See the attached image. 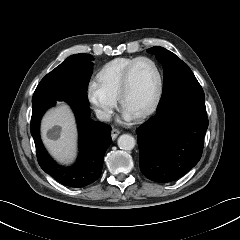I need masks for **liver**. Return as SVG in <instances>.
I'll return each instance as SVG.
<instances>
[{
  "mask_svg": "<svg viewBox=\"0 0 240 240\" xmlns=\"http://www.w3.org/2000/svg\"><path fill=\"white\" fill-rule=\"evenodd\" d=\"M54 126L61 128L59 138L52 139L47 133ZM43 142L50 154L59 162L69 163L76 154V126L72 112L62 104L50 110L42 121Z\"/></svg>",
  "mask_w": 240,
  "mask_h": 240,
  "instance_id": "1",
  "label": "liver"
}]
</instances>
